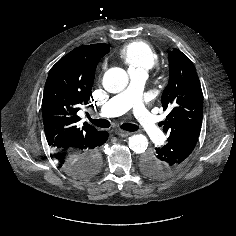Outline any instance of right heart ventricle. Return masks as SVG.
<instances>
[{
	"mask_svg": "<svg viewBox=\"0 0 236 236\" xmlns=\"http://www.w3.org/2000/svg\"><path fill=\"white\" fill-rule=\"evenodd\" d=\"M120 58L133 71H148L158 63V54L145 41H133L123 46L119 51Z\"/></svg>",
	"mask_w": 236,
	"mask_h": 236,
	"instance_id": "1",
	"label": "right heart ventricle"
}]
</instances>
